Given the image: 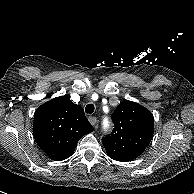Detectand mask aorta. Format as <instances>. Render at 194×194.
Masks as SVG:
<instances>
[{"label": "aorta", "instance_id": "762f6f07", "mask_svg": "<svg viewBox=\"0 0 194 194\" xmlns=\"http://www.w3.org/2000/svg\"><path fill=\"white\" fill-rule=\"evenodd\" d=\"M109 126H110L109 121L107 119H105L104 122H103V128H104V130L109 129Z\"/></svg>", "mask_w": 194, "mask_h": 194}]
</instances>
